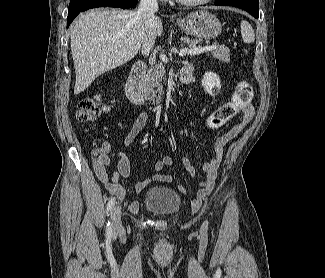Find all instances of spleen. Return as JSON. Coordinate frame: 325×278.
Segmentation results:
<instances>
[{"label": "spleen", "mask_w": 325, "mask_h": 278, "mask_svg": "<svg viewBox=\"0 0 325 278\" xmlns=\"http://www.w3.org/2000/svg\"><path fill=\"white\" fill-rule=\"evenodd\" d=\"M241 35L245 43H253L255 34L252 26L247 21H241Z\"/></svg>", "instance_id": "spleen-1"}]
</instances>
